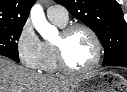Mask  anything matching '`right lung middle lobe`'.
Returning <instances> with one entry per match:
<instances>
[{
	"label": "right lung middle lobe",
	"instance_id": "obj_1",
	"mask_svg": "<svg viewBox=\"0 0 127 92\" xmlns=\"http://www.w3.org/2000/svg\"><path fill=\"white\" fill-rule=\"evenodd\" d=\"M23 26H0V55L18 58V43Z\"/></svg>",
	"mask_w": 127,
	"mask_h": 92
}]
</instances>
